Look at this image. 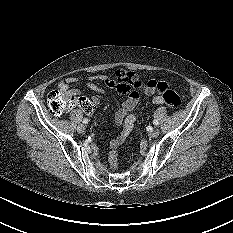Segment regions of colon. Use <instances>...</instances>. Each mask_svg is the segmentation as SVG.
I'll return each instance as SVG.
<instances>
[{
    "label": "colon",
    "instance_id": "5ec220e1",
    "mask_svg": "<svg viewBox=\"0 0 233 233\" xmlns=\"http://www.w3.org/2000/svg\"><path fill=\"white\" fill-rule=\"evenodd\" d=\"M117 79L119 82L124 84L126 87H140L144 84H150L155 87L156 90L161 94L160 101L163 104L177 108L181 105V98L179 95L174 92L166 83L156 82V81H147L143 83L140 79V76L131 71H118L116 73ZM76 104L74 97L67 95L61 90L51 91L48 95V106L50 111L55 115H60L65 111L69 110ZM129 124L133 122V119H129ZM110 164L113 168L117 167V153L112 152L110 154Z\"/></svg>",
    "mask_w": 233,
    "mask_h": 233
}]
</instances>
